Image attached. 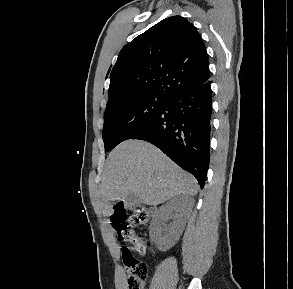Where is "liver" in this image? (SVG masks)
<instances>
[{
    "mask_svg": "<svg viewBox=\"0 0 293 289\" xmlns=\"http://www.w3.org/2000/svg\"><path fill=\"white\" fill-rule=\"evenodd\" d=\"M99 189L106 203L134 194L141 203L156 206L180 194L194 196L198 185L152 144L126 140L109 153Z\"/></svg>",
    "mask_w": 293,
    "mask_h": 289,
    "instance_id": "1",
    "label": "liver"
}]
</instances>
